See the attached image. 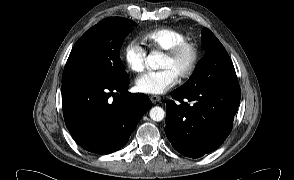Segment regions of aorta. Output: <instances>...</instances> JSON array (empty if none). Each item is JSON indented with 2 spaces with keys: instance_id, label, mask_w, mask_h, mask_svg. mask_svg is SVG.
Wrapping results in <instances>:
<instances>
[{
  "instance_id": "aorta-1",
  "label": "aorta",
  "mask_w": 294,
  "mask_h": 180,
  "mask_svg": "<svg viewBox=\"0 0 294 180\" xmlns=\"http://www.w3.org/2000/svg\"><path fill=\"white\" fill-rule=\"evenodd\" d=\"M147 63L149 65V67L156 70V69L161 68L162 60H161L160 55L154 53V54L148 55ZM149 115L153 121L159 122L164 119L165 111L163 110V108H161L159 106H155L150 109Z\"/></svg>"
}]
</instances>
